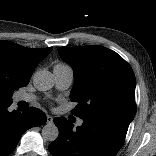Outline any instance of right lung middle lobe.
<instances>
[{
  "instance_id": "right-lung-middle-lobe-1",
  "label": "right lung middle lobe",
  "mask_w": 156,
  "mask_h": 156,
  "mask_svg": "<svg viewBox=\"0 0 156 156\" xmlns=\"http://www.w3.org/2000/svg\"><path fill=\"white\" fill-rule=\"evenodd\" d=\"M11 93H5L1 96V99L5 100V101H11Z\"/></svg>"
}]
</instances>
